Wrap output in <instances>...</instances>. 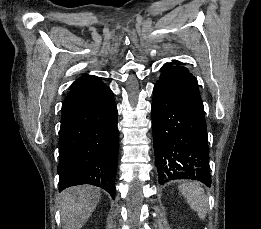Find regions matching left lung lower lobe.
<instances>
[{
  "instance_id": "left-lung-lower-lobe-1",
  "label": "left lung lower lobe",
  "mask_w": 261,
  "mask_h": 229,
  "mask_svg": "<svg viewBox=\"0 0 261 229\" xmlns=\"http://www.w3.org/2000/svg\"><path fill=\"white\" fill-rule=\"evenodd\" d=\"M153 90L152 130L160 180L196 179L211 184L203 103L186 67L166 63Z\"/></svg>"
}]
</instances>
